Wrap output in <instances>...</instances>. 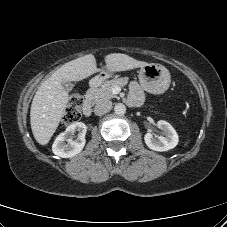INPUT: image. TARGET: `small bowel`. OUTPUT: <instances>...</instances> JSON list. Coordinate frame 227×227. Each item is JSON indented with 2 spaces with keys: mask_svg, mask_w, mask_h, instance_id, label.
<instances>
[{
  "mask_svg": "<svg viewBox=\"0 0 227 227\" xmlns=\"http://www.w3.org/2000/svg\"><path fill=\"white\" fill-rule=\"evenodd\" d=\"M142 99H143V94L140 87L138 86L137 83H132L131 89H130V97H129L130 103L134 105H138L142 102Z\"/></svg>",
  "mask_w": 227,
  "mask_h": 227,
  "instance_id": "obj_1",
  "label": "small bowel"
}]
</instances>
